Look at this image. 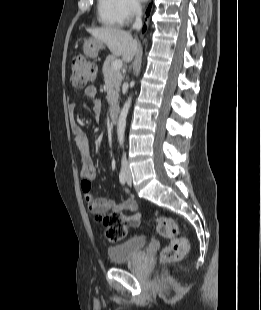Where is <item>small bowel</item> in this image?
Returning <instances> with one entry per match:
<instances>
[{"label":"small bowel","mask_w":261,"mask_h":310,"mask_svg":"<svg viewBox=\"0 0 261 310\" xmlns=\"http://www.w3.org/2000/svg\"><path fill=\"white\" fill-rule=\"evenodd\" d=\"M85 95L93 100L95 110H100V101L97 98L96 88L92 85L86 87ZM75 105L69 104V110L74 111ZM71 130L74 141L79 153V174L82 178L81 190L83 192L85 201L88 204L89 210L98 216L105 213H132L137 209V204L134 199H127L123 203H118L114 198L104 197L96 199L91 192V182L96 176V168L92 162L90 155V141L88 136L81 131L75 121H71ZM132 220H134L132 218ZM139 222V221H138Z\"/></svg>","instance_id":"c3829d8e"}]
</instances>
